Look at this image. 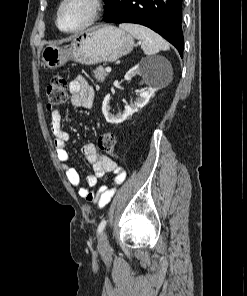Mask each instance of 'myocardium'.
Returning a JSON list of instances; mask_svg holds the SVG:
<instances>
[{"instance_id": "myocardium-1", "label": "myocardium", "mask_w": 247, "mask_h": 296, "mask_svg": "<svg viewBox=\"0 0 247 296\" xmlns=\"http://www.w3.org/2000/svg\"><path fill=\"white\" fill-rule=\"evenodd\" d=\"M71 0H62L58 6L57 13H56V26L57 28L66 34H74L79 33L88 27L92 26L99 18L102 9H103V2L102 0H86V2L90 5V13L86 21L81 24L80 26L74 29H64L60 25V16L63 8L70 2Z\"/></svg>"}]
</instances>
